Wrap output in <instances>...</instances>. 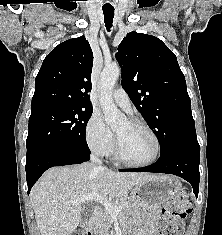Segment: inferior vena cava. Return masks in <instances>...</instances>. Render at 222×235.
<instances>
[{"instance_id": "1", "label": "inferior vena cava", "mask_w": 222, "mask_h": 235, "mask_svg": "<svg viewBox=\"0 0 222 235\" xmlns=\"http://www.w3.org/2000/svg\"><path fill=\"white\" fill-rule=\"evenodd\" d=\"M91 161H92V163L98 165L100 168H104L102 166L101 160L98 157L94 156L93 154L91 155Z\"/></svg>"}]
</instances>
